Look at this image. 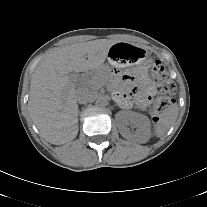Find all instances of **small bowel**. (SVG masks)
<instances>
[{
    "label": "small bowel",
    "mask_w": 207,
    "mask_h": 207,
    "mask_svg": "<svg viewBox=\"0 0 207 207\" xmlns=\"http://www.w3.org/2000/svg\"><path fill=\"white\" fill-rule=\"evenodd\" d=\"M129 82L134 83L133 78L127 79ZM139 87L137 90H123L118 93V98L125 104H129L135 100L140 106L145 107L150 101L151 97L156 92L155 84L146 76L144 68H141L138 76ZM136 89V88H135Z\"/></svg>",
    "instance_id": "obj_1"
}]
</instances>
